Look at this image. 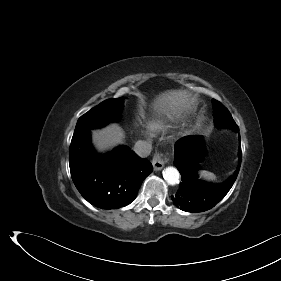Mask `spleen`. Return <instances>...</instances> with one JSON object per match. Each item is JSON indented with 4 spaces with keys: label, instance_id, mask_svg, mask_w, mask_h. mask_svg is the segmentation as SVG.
Segmentation results:
<instances>
[{
    "label": "spleen",
    "instance_id": "obj_1",
    "mask_svg": "<svg viewBox=\"0 0 281 281\" xmlns=\"http://www.w3.org/2000/svg\"><path fill=\"white\" fill-rule=\"evenodd\" d=\"M200 178L207 180V181H213L216 179V175L212 172L201 170L199 171Z\"/></svg>",
    "mask_w": 281,
    "mask_h": 281
}]
</instances>
